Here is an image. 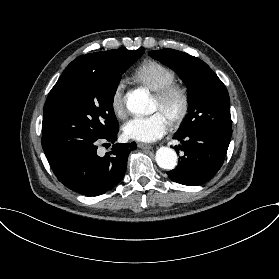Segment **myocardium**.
<instances>
[{
  "instance_id": "obj_1",
  "label": "myocardium",
  "mask_w": 279,
  "mask_h": 279,
  "mask_svg": "<svg viewBox=\"0 0 279 279\" xmlns=\"http://www.w3.org/2000/svg\"><path fill=\"white\" fill-rule=\"evenodd\" d=\"M155 97L161 104H166L171 101L178 103L177 111L169 119V123L172 127L180 126L187 117L190 109V99L187 89L183 85L172 83L157 91Z\"/></svg>"
}]
</instances>
